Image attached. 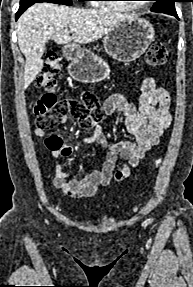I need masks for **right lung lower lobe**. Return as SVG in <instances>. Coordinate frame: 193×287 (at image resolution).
I'll return each mask as SVG.
<instances>
[{
  "instance_id": "right-lung-lower-lobe-1",
  "label": "right lung lower lobe",
  "mask_w": 193,
  "mask_h": 287,
  "mask_svg": "<svg viewBox=\"0 0 193 287\" xmlns=\"http://www.w3.org/2000/svg\"><path fill=\"white\" fill-rule=\"evenodd\" d=\"M34 3L30 2V3H20V7L18 12L16 13V20L20 17V15L31 5H33Z\"/></svg>"
}]
</instances>
